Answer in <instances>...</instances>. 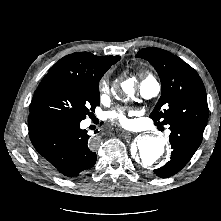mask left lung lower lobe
Listing matches in <instances>:
<instances>
[{
	"instance_id": "obj_1",
	"label": "left lung lower lobe",
	"mask_w": 221,
	"mask_h": 221,
	"mask_svg": "<svg viewBox=\"0 0 221 221\" xmlns=\"http://www.w3.org/2000/svg\"><path fill=\"white\" fill-rule=\"evenodd\" d=\"M170 130L169 140L173 149L170 161L154 170V173L161 178L179 172L189 162L203 139L204 130L192 125L176 122L170 125Z\"/></svg>"
}]
</instances>
